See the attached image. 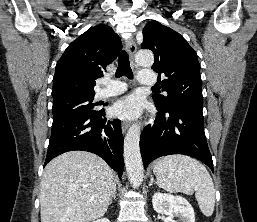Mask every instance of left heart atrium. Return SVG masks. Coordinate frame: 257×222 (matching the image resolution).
Wrapping results in <instances>:
<instances>
[{
  "instance_id": "1",
  "label": "left heart atrium",
  "mask_w": 257,
  "mask_h": 222,
  "mask_svg": "<svg viewBox=\"0 0 257 222\" xmlns=\"http://www.w3.org/2000/svg\"><path fill=\"white\" fill-rule=\"evenodd\" d=\"M141 111V99L135 94L123 97L113 107V115L122 120H134L139 117Z\"/></svg>"
}]
</instances>
